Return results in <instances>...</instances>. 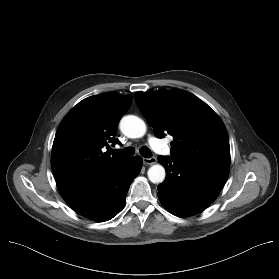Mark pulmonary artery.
<instances>
[{"instance_id": "e3ab8cb5", "label": "pulmonary artery", "mask_w": 279, "mask_h": 279, "mask_svg": "<svg viewBox=\"0 0 279 279\" xmlns=\"http://www.w3.org/2000/svg\"><path fill=\"white\" fill-rule=\"evenodd\" d=\"M149 142L151 143V145L153 146V148L160 154H164L165 149H166V145L164 144V142L157 140L155 138H150Z\"/></svg>"}]
</instances>
